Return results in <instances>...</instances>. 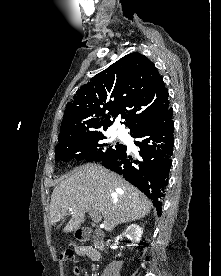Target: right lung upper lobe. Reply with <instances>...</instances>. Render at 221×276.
I'll use <instances>...</instances> for the list:
<instances>
[{
    "mask_svg": "<svg viewBox=\"0 0 221 276\" xmlns=\"http://www.w3.org/2000/svg\"><path fill=\"white\" fill-rule=\"evenodd\" d=\"M169 93L155 65L131 53L81 86L67 103L59 142L101 132L118 115L131 130L165 114Z\"/></svg>",
    "mask_w": 221,
    "mask_h": 276,
    "instance_id": "1",
    "label": "right lung upper lobe"
}]
</instances>
